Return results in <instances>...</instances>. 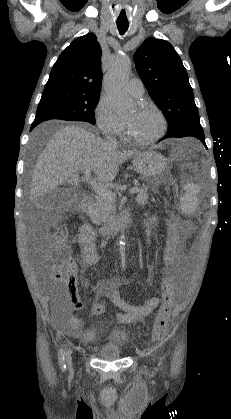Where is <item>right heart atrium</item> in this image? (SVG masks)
<instances>
[{
    "instance_id": "right-heart-atrium-1",
    "label": "right heart atrium",
    "mask_w": 231,
    "mask_h": 419,
    "mask_svg": "<svg viewBox=\"0 0 231 419\" xmlns=\"http://www.w3.org/2000/svg\"><path fill=\"white\" fill-rule=\"evenodd\" d=\"M95 118L101 132L108 137H121L125 133V124L114 112L109 101L101 97L95 108Z\"/></svg>"
}]
</instances>
